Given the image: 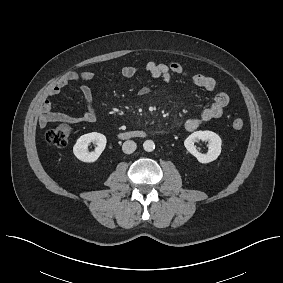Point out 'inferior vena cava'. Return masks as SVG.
<instances>
[{"label": "inferior vena cava", "mask_w": 283, "mask_h": 283, "mask_svg": "<svg viewBox=\"0 0 283 283\" xmlns=\"http://www.w3.org/2000/svg\"><path fill=\"white\" fill-rule=\"evenodd\" d=\"M136 143L132 140H127L122 145V150L126 154H131L136 150Z\"/></svg>", "instance_id": "inferior-vena-cava-1"}]
</instances>
